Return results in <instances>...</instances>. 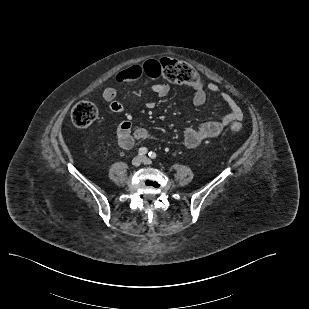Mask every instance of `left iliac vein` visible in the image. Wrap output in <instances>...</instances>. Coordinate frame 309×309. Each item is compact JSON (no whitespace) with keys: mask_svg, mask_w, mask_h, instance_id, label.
I'll use <instances>...</instances> for the list:
<instances>
[{"mask_svg":"<svg viewBox=\"0 0 309 309\" xmlns=\"http://www.w3.org/2000/svg\"><path fill=\"white\" fill-rule=\"evenodd\" d=\"M142 162H143L144 164H146V165L151 164V160H150L149 158H147V157H142Z\"/></svg>","mask_w":309,"mask_h":309,"instance_id":"4c4485c4","label":"left iliac vein"}]
</instances>
